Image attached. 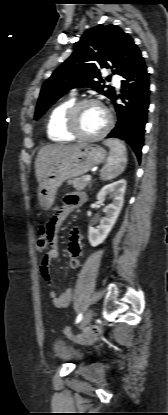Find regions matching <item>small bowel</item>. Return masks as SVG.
<instances>
[{"mask_svg": "<svg viewBox=\"0 0 168 415\" xmlns=\"http://www.w3.org/2000/svg\"><path fill=\"white\" fill-rule=\"evenodd\" d=\"M85 202V195L80 193H68L63 198V204L58 211L53 215L50 221L45 224L49 251L43 256L44 261L40 264V274L43 280L51 285L52 277L50 273V266L54 261H60V254L58 250V234L60 227L69 216L71 212L79 208ZM82 252L81 236L77 228H72L69 237L67 253L69 255V266L72 269H78L80 266L79 256ZM52 302L56 308H66L70 305L73 297L71 288L66 289L63 293L58 295L55 291L50 290L49 293Z\"/></svg>", "mask_w": 168, "mask_h": 415, "instance_id": "c3829d8e", "label": "small bowel"}]
</instances>
